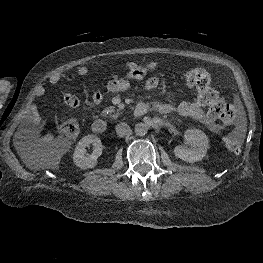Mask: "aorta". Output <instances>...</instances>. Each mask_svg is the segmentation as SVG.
Segmentation results:
<instances>
[{"label": "aorta", "mask_w": 263, "mask_h": 263, "mask_svg": "<svg viewBox=\"0 0 263 263\" xmlns=\"http://www.w3.org/2000/svg\"><path fill=\"white\" fill-rule=\"evenodd\" d=\"M134 131H135L136 135L144 136L148 132V126L145 123H137L135 125Z\"/></svg>", "instance_id": "obj_1"}]
</instances>
